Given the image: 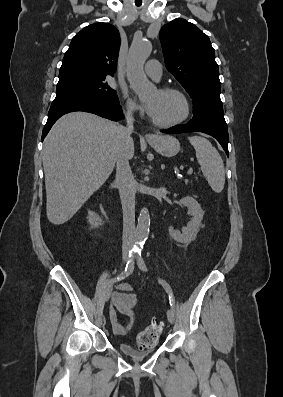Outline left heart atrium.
Wrapping results in <instances>:
<instances>
[{
    "label": "left heart atrium",
    "mask_w": 283,
    "mask_h": 397,
    "mask_svg": "<svg viewBox=\"0 0 283 397\" xmlns=\"http://www.w3.org/2000/svg\"><path fill=\"white\" fill-rule=\"evenodd\" d=\"M142 107L149 115L153 113L154 107L152 103L147 102Z\"/></svg>",
    "instance_id": "left-heart-atrium-1"
}]
</instances>
